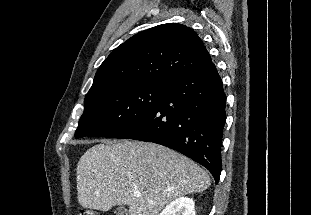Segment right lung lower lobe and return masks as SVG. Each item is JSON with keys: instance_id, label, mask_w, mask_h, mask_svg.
<instances>
[{"instance_id": "obj_1", "label": "right lung lower lobe", "mask_w": 311, "mask_h": 215, "mask_svg": "<svg viewBox=\"0 0 311 215\" xmlns=\"http://www.w3.org/2000/svg\"><path fill=\"white\" fill-rule=\"evenodd\" d=\"M225 107L222 80L211 63L168 81L159 105L115 138L177 150L206 167L218 183Z\"/></svg>"}]
</instances>
